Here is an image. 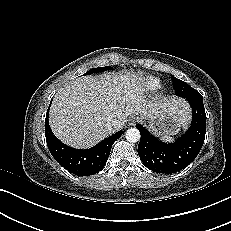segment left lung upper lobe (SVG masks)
Wrapping results in <instances>:
<instances>
[{"instance_id": "1", "label": "left lung upper lobe", "mask_w": 231, "mask_h": 231, "mask_svg": "<svg viewBox=\"0 0 231 231\" xmlns=\"http://www.w3.org/2000/svg\"><path fill=\"white\" fill-rule=\"evenodd\" d=\"M173 82L174 90L176 91V95L182 98H191V97H201V94L189 86L186 82L177 79L176 77H171Z\"/></svg>"}]
</instances>
